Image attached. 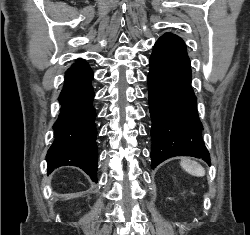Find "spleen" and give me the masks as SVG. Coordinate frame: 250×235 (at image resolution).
<instances>
[{"label":"spleen","instance_id":"1","mask_svg":"<svg viewBox=\"0 0 250 235\" xmlns=\"http://www.w3.org/2000/svg\"><path fill=\"white\" fill-rule=\"evenodd\" d=\"M180 165L186 172L193 176L201 177L205 175L204 168L195 161L189 159L182 160Z\"/></svg>","mask_w":250,"mask_h":235}]
</instances>
